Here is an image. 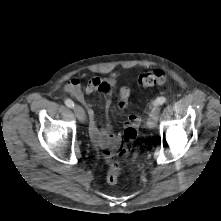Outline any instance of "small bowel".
Instances as JSON below:
<instances>
[{"instance_id": "small-bowel-1", "label": "small bowel", "mask_w": 221, "mask_h": 221, "mask_svg": "<svg viewBox=\"0 0 221 221\" xmlns=\"http://www.w3.org/2000/svg\"><path fill=\"white\" fill-rule=\"evenodd\" d=\"M116 81L114 77L105 79L92 78L84 88L81 87L80 81L77 78L71 79L65 86V91L71 94L76 100L81 102L85 107L89 119V135L93 144L104 150L106 158L112 157L111 152L116 151L122 141V134L112 131L109 125L100 128L96 121V114L92 105L86 101L84 94H91L95 91H100L105 98V113L108 114L110 107V99L115 88ZM120 107H123L120 105ZM139 123V118L135 114H130L125 123V127L136 126Z\"/></svg>"}]
</instances>
